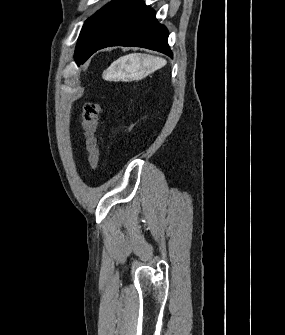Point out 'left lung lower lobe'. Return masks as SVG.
<instances>
[{
    "mask_svg": "<svg viewBox=\"0 0 285 335\" xmlns=\"http://www.w3.org/2000/svg\"><path fill=\"white\" fill-rule=\"evenodd\" d=\"M108 46L144 47L173 57L168 30L141 0H112L107 4L88 28L77 64H83L94 52Z\"/></svg>",
    "mask_w": 285,
    "mask_h": 335,
    "instance_id": "left-lung-lower-lobe-1",
    "label": "left lung lower lobe"
}]
</instances>
